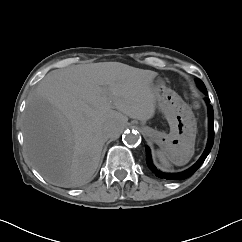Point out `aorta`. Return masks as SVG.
<instances>
[{
  "mask_svg": "<svg viewBox=\"0 0 242 242\" xmlns=\"http://www.w3.org/2000/svg\"><path fill=\"white\" fill-rule=\"evenodd\" d=\"M122 140L126 145L135 146L140 144L141 137L136 132L127 131L123 135Z\"/></svg>",
  "mask_w": 242,
  "mask_h": 242,
  "instance_id": "762f6f07",
  "label": "aorta"
}]
</instances>
